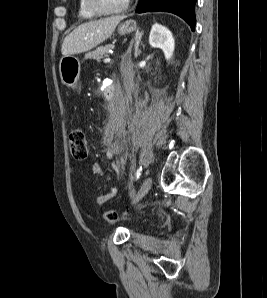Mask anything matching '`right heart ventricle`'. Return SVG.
I'll return each mask as SVG.
<instances>
[{
	"label": "right heart ventricle",
	"instance_id": "obj_1",
	"mask_svg": "<svg viewBox=\"0 0 267 298\" xmlns=\"http://www.w3.org/2000/svg\"><path fill=\"white\" fill-rule=\"evenodd\" d=\"M78 16L84 20H93L97 18V15L87 8L85 0L78 1Z\"/></svg>",
	"mask_w": 267,
	"mask_h": 298
}]
</instances>
